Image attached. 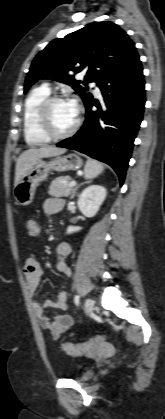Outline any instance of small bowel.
I'll return each mask as SVG.
<instances>
[{"label":"small bowel","instance_id":"obj_1","mask_svg":"<svg viewBox=\"0 0 165 419\" xmlns=\"http://www.w3.org/2000/svg\"><path fill=\"white\" fill-rule=\"evenodd\" d=\"M64 208V201L58 198H48L43 203V210L47 215H55L61 212ZM28 228V227H27ZM40 228L37 225V231L28 233L32 237L38 236ZM72 253V248L68 243H60L56 248V270L63 276L69 277L71 269L67 264V259ZM25 282L27 290L31 297L37 293L40 277L42 274V266L35 256H31L26 260L25 267ZM68 292L61 290L57 298L54 300H45L40 303L33 302V308L39 320L42 329L48 331L54 339H59L63 333L68 331L74 325V317L71 315H64L58 313L54 316L47 314V309H54L58 312H63L67 309L68 305Z\"/></svg>","mask_w":165,"mask_h":419}]
</instances>
